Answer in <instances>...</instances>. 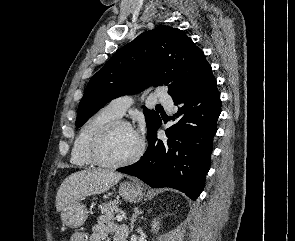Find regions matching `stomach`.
Segmentation results:
<instances>
[{"instance_id":"1","label":"stomach","mask_w":295,"mask_h":241,"mask_svg":"<svg viewBox=\"0 0 295 241\" xmlns=\"http://www.w3.org/2000/svg\"><path fill=\"white\" fill-rule=\"evenodd\" d=\"M119 194L128 202H137L145 195V189L138 180L132 179L120 183ZM88 213L86 206L76 201L62 210L61 220L70 228H79L86 221Z\"/></svg>"}]
</instances>
